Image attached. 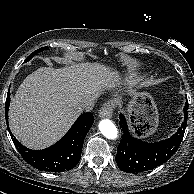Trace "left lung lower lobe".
I'll list each match as a JSON object with an SVG mask.
<instances>
[{
	"label": "left lung lower lobe",
	"instance_id": "1",
	"mask_svg": "<svg viewBox=\"0 0 194 194\" xmlns=\"http://www.w3.org/2000/svg\"><path fill=\"white\" fill-rule=\"evenodd\" d=\"M188 118V102L184 107V122L178 131L169 139L146 143L132 137L124 115L120 114L119 123L123 132L122 141L117 148L116 163L128 173H139L156 168L165 163L180 146L186 129Z\"/></svg>",
	"mask_w": 194,
	"mask_h": 194
}]
</instances>
